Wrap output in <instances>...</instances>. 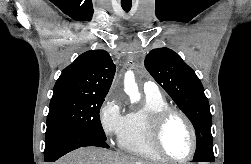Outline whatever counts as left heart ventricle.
<instances>
[{"label":"left heart ventricle","instance_id":"b2bd125f","mask_svg":"<svg viewBox=\"0 0 251 164\" xmlns=\"http://www.w3.org/2000/svg\"><path fill=\"white\" fill-rule=\"evenodd\" d=\"M166 152L174 158H183L191 151V134L185 122L173 116L167 123L163 138Z\"/></svg>","mask_w":251,"mask_h":164}]
</instances>
